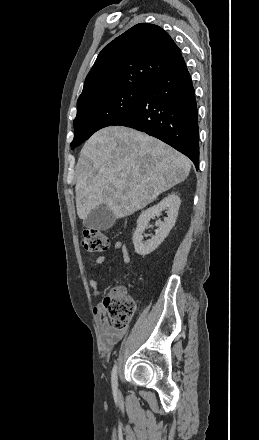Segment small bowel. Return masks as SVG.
<instances>
[{
    "label": "small bowel",
    "mask_w": 259,
    "mask_h": 440,
    "mask_svg": "<svg viewBox=\"0 0 259 440\" xmlns=\"http://www.w3.org/2000/svg\"><path fill=\"white\" fill-rule=\"evenodd\" d=\"M115 249L122 255L124 263L129 264L130 256L126 245L121 241H117L115 243ZM105 260V256H98L94 258L88 266L89 285L92 289V295L95 297L99 296L100 291L97 281L93 277V272L95 268L104 263ZM93 313L98 325L101 348L104 352H109L122 339L125 334V329H115L108 323L104 317L105 310L102 304L96 305L93 308Z\"/></svg>",
    "instance_id": "obj_1"
}]
</instances>
